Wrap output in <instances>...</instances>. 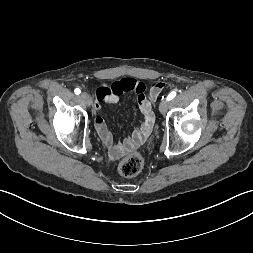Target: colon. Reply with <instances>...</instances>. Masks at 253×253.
Returning a JSON list of instances; mask_svg holds the SVG:
<instances>
[{
    "mask_svg": "<svg viewBox=\"0 0 253 253\" xmlns=\"http://www.w3.org/2000/svg\"><path fill=\"white\" fill-rule=\"evenodd\" d=\"M143 165V159L139 154H131L119 162L118 170L121 175L131 177L137 175L142 170Z\"/></svg>",
    "mask_w": 253,
    "mask_h": 253,
    "instance_id": "5ec220e1",
    "label": "colon"
}]
</instances>
